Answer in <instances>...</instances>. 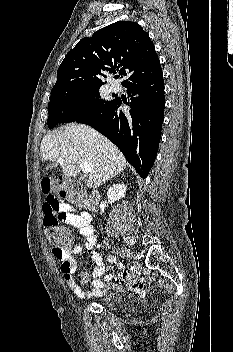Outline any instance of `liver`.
<instances>
[{
	"mask_svg": "<svg viewBox=\"0 0 233 352\" xmlns=\"http://www.w3.org/2000/svg\"><path fill=\"white\" fill-rule=\"evenodd\" d=\"M40 151L43 162H53L59 157L64 159L60 165L66 178L79 174L81 162L91 164L89 188L99 187L121 173L127 165L125 157L111 141L81 124H67L58 133L45 135Z\"/></svg>",
	"mask_w": 233,
	"mask_h": 352,
	"instance_id": "1",
	"label": "liver"
}]
</instances>
